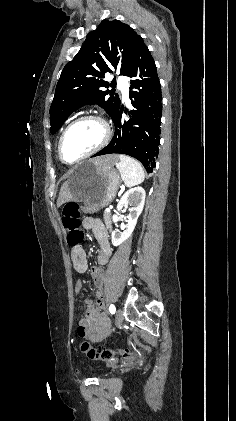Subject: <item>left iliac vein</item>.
<instances>
[{"instance_id": "1", "label": "left iliac vein", "mask_w": 236, "mask_h": 421, "mask_svg": "<svg viewBox=\"0 0 236 421\" xmlns=\"http://www.w3.org/2000/svg\"><path fill=\"white\" fill-rule=\"evenodd\" d=\"M116 327L117 328H120L121 327V324H122V322H123V311H122V309L121 308H119L117 311H116Z\"/></svg>"}]
</instances>
